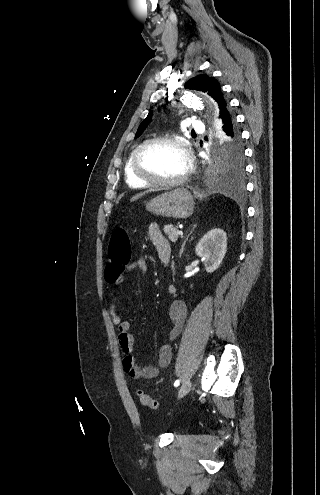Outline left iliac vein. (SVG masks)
I'll return each instance as SVG.
<instances>
[{
  "mask_svg": "<svg viewBox=\"0 0 320 495\" xmlns=\"http://www.w3.org/2000/svg\"><path fill=\"white\" fill-rule=\"evenodd\" d=\"M192 388V383L190 380H186L180 387L178 391V398L184 397L187 393L190 392Z\"/></svg>",
  "mask_w": 320,
  "mask_h": 495,
  "instance_id": "left-iliac-vein-1",
  "label": "left iliac vein"
}]
</instances>
